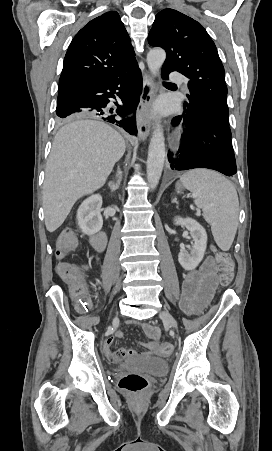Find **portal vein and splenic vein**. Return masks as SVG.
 <instances>
[{
    "label": "portal vein and splenic vein",
    "instance_id": "1",
    "mask_svg": "<svg viewBox=\"0 0 272 451\" xmlns=\"http://www.w3.org/2000/svg\"><path fill=\"white\" fill-rule=\"evenodd\" d=\"M193 198H196L195 194H193Z\"/></svg>",
    "mask_w": 272,
    "mask_h": 451
}]
</instances>
